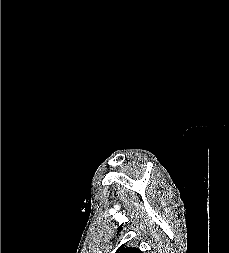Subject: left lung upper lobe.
<instances>
[{"label":"left lung upper lobe","mask_w":229,"mask_h":253,"mask_svg":"<svg viewBox=\"0 0 229 253\" xmlns=\"http://www.w3.org/2000/svg\"><path fill=\"white\" fill-rule=\"evenodd\" d=\"M125 245H121L116 253H142L138 248L134 247H124Z\"/></svg>","instance_id":"5c2ea615"}]
</instances>
